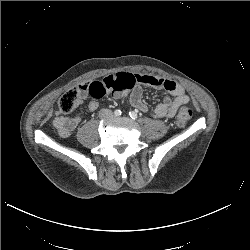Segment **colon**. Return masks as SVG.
I'll use <instances>...</instances> for the list:
<instances>
[{
	"instance_id": "1",
	"label": "colon",
	"mask_w": 250,
	"mask_h": 250,
	"mask_svg": "<svg viewBox=\"0 0 250 250\" xmlns=\"http://www.w3.org/2000/svg\"><path fill=\"white\" fill-rule=\"evenodd\" d=\"M88 93L95 99L103 98L108 93L107 85L101 81L96 80L88 86ZM80 99V91L77 88H72L65 92L58 101L59 110L68 114L72 112L78 105ZM193 112L187 107L180 108L175 117V125L178 128L185 127L191 120Z\"/></svg>"
}]
</instances>
